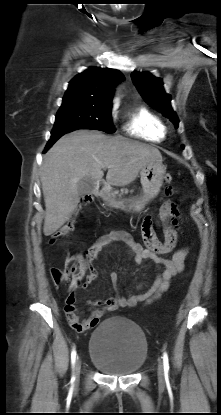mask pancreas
<instances>
[{"instance_id":"cf45deb5","label":"pancreas","mask_w":221,"mask_h":415,"mask_svg":"<svg viewBox=\"0 0 221 415\" xmlns=\"http://www.w3.org/2000/svg\"><path fill=\"white\" fill-rule=\"evenodd\" d=\"M127 193H128V190L127 189H122L120 195L127 194ZM117 194H119V192L118 191H115L111 195H112V197H115Z\"/></svg>"}]
</instances>
